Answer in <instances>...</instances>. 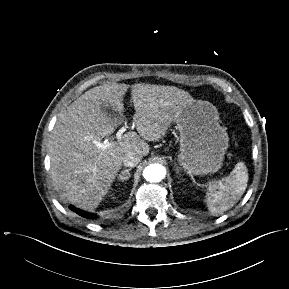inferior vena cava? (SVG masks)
I'll use <instances>...</instances> for the list:
<instances>
[{"label": "inferior vena cava", "instance_id": "602c4592", "mask_svg": "<svg viewBox=\"0 0 289 289\" xmlns=\"http://www.w3.org/2000/svg\"><path fill=\"white\" fill-rule=\"evenodd\" d=\"M141 159L142 156L137 155L133 152H128L123 158V164L126 167H135L140 163Z\"/></svg>", "mask_w": 289, "mask_h": 289}]
</instances>
